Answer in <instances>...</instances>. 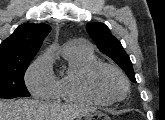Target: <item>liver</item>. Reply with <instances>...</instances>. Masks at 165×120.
<instances>
[{
	"mask_svg": "<svg viewBox=\"0 0 165 120\" xmlns=\"http://www.w3.org/2000/svg\"><path fill=\"white\" fill-rule=\"evenodd\" d=\"M92 111L90 108H59L55 104L32 99H0V120H53L64 117L67 120Z\"/></svg>",
	"mask_w": 165,
	"mask_h": 120,
	"instance_id": "liver-1",
	"label": "liver"
}]
</instances>
